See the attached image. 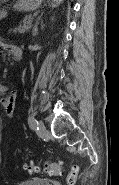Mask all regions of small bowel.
<instances>
[{"label":"small bowel","instance_id":"c3829d8e","mask_svg":"<svg viewBox=\"0 0 119 185\" xmlns=\"http://www.w3.org/2000/svg\"><path fill=\"white\" fill-rule=\"evenodd\" d=\"M1 50H6V51H11L13 52L14 48H16V46H13L11 44L2 42L0 44ZM8 91V88L4 85L0 86V92L2 94L6 93ZM15 101H16V96L14 93H11L8 96L2 97L1 99V104L5 110V113L7 116L11 117L14 111V107H15Z\"/></svg>","mask_w":119,"mask_h":185}]
</instances>
